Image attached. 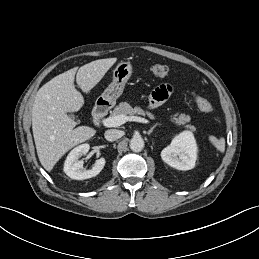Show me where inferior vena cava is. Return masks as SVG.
<instances>
[{
    "label": "inferior vena cava",
    "instance_id": "602c4592",
    "mask_svg": "<svg viewBox=\"0 0 259 259\" xmlns=\"http://www.w3.org/2000/svg\"><path fill=\"white\" fill-rule=\"evenodd\" d=\"M104 136L107 141H115L122 136V133L120 130L110 129L105 131Z\"/></svg>",
    "mask_w": 259,
    "mask_h": 259
}]
</instances>
